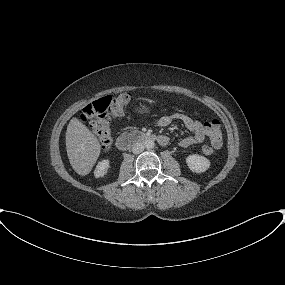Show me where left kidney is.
I'll use <instances>...</instances> for the list:
<instances>
[{
    "label": "left kidney",
    "mask_w": 285,
    "mask_h": 285,
    "mask_svg": "<svg viewBox=\"0 0 285 285\" xmlns=\"http://www.w3.org/2000/svg\"><path fill=\"white\" fill-rule=\"evenodd\" d=\"M189 169L195 173H203L210 167V161L201 155L193 154L186 158Z\"/></svg>",
    "instance_id": "left-kidney-1"
}]
</instances>
